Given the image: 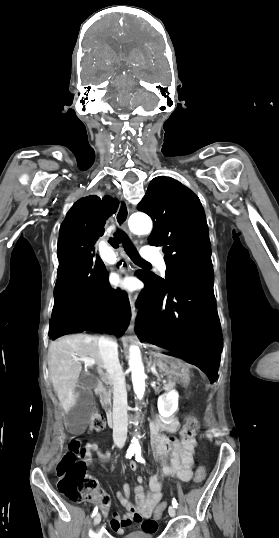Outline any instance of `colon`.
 <instances>
[{
	"instance_id": "obj_1",
	"label": "colon",
	"mask_w": 279,
	"mask_h": 538,
	"mask_svg": "<svg viewBox=\"0 0 279 538\" xmlns=\"http://www.w3.org/2000/svg\"><path fill=\"white\" fill-rule=\"evenodd\" d=\"M105 428V420L101 415H94L91 419L90 430L101 432ZM199 429V421L195 416H188L185 420L180 436L183 440L191 439ZM87 457L86 449L81 447L79 440H71L68 449L57 466L59 478L58 489L74 502L82 501L94 494L95 498L105 508L109 503V497L96 488L95 481L87 473L84 464ZM206 477V470L203 465L196 469L194 481L202 483ZM167 504L161 503L154 512L155 518H160L166 510Z\"/></svg>"
}]
</instances>
